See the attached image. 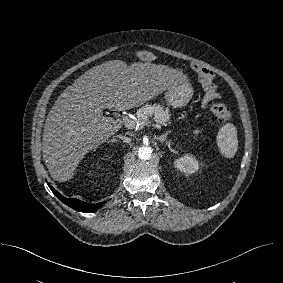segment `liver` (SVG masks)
<instances>
[{
    "label": "liver",
    "instance_id": "liver-1",
    "mask_svg": "<svg viewBox=\"0 0 283 283\" xmlns=\"http://www.w3.org/2000/svg\"><path fill=\"white\" fill-rule=\"evenodd\" d=\"M182 81L174 68L152 63L107 61L95 66L68 86L55 101L45 121L43 159L53 179L70 180L89 151L122 127L103 116L139 107Z\"/></svg>",
    "mask_w": 283,
    "mask_h": 283
}]
</instances>
